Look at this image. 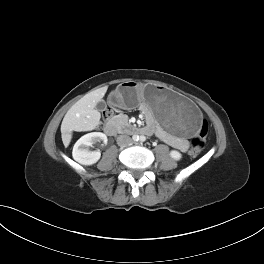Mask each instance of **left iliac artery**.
<instances>
[{
    "instance_id": "obj_1",
    "label": "left iliac artery",
    "mask_w": 264,
    "mask_h": 264,
    "mask_svg": "<svg viewBox=\"0 0 264 264\" xmlns=\"http://www.w3.org/2000/svg\"><path fill=\"white\" fill-rule=\"evenodd\" d=\"M146 141V137L145 136H141L140 137V142L142 143V142H145Z\"/></svg>"
}]
</instances>
